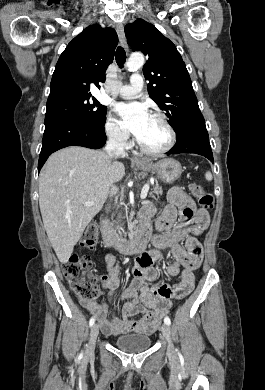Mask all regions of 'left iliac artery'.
I'll use <instances>...</instances> for the list:
<instances>
[{
	"label": "left iliac artery",
	"instance_id": "1",
	"mask_svg": "<svg viewBox=\"0 0 265 390\" xmlns=\"http://www.w3.org/2000/svg\"><path fill=\"white\" fill-rule=\"evenodd\" d=\"M164 323L170 325L171 324L170 318L169 317H165L164 318Z\"/></svg>",
	"mask_w": 265,
	"mask_h": 390
}]
</instances>
